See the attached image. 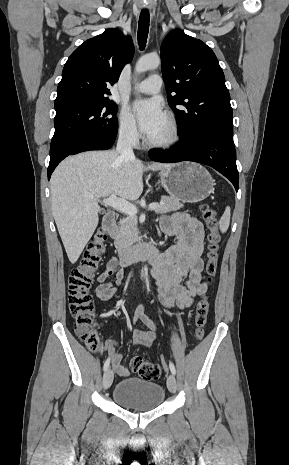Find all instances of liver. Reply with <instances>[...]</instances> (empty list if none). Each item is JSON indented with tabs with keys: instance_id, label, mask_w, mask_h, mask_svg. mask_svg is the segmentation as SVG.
<instances>
[{
	"instance_id": "1",
	"label": "liver",
	"mask_w": 289,
	"mask_h": 465,
	"mask_svg": "<svg viewBox=\"0 0 289 465\" xmlns=\"http://www.w3.org/2000/svg\"><path fill=\"white\" fill-rule=\"evenodd\" d=\"M173 164L144 166L137 158L115 151H88L64 159L50 181L52 214L69 261L74 264L97 228L101 197L112 194L137 200L145 170H164Z\"/></svg>"
}]
</instances>
